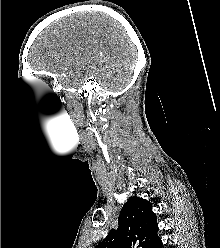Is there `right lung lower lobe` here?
I'll use <instances>...</instances> for the list:
<instances>
[{"label": "right lung lower lobe", "instance_id": "obj_1", "mask_svg": "<svg viewBox=\"0 0 220 248\" xmlns=\"http://www.w3.org/2000/svg\"><path fill=\"white\" fill-rule=\"evenodd\" d=\"M162 247V241L160 240L153 248H161Z\"/></svg>", "mask_w": 220, "mask_h": 248}]
</instances>
